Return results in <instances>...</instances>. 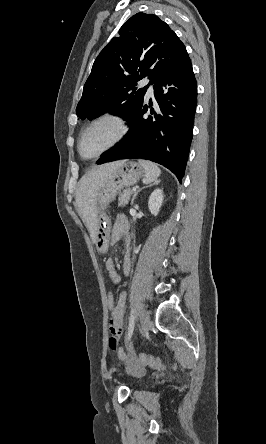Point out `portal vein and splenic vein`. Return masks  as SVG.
Returning a JSON list of instances; mask_svg holds the SVG:
<instances>
[{
	"mask_svg": "<svg viewBox=\"0 0 266 444\" xmlns=\"http://www.w3.org/2000/svg\"><path fill=\"white\" fill-rule=\"evenodd\" d=\"M132 191H136V189L134 188Z\"/></svg>",
	"mask_w": 266,
	"mask_h": 444,
	"instance_id": "portal-vein-and-splenic-vein-1",
	"label": "portal vein and splenic vein"
}]
</instances>
